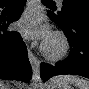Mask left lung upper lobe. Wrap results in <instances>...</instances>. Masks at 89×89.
Returning <instances> with one entry per match:
<instances>
[{"label": "left lung upper lobe", "instance_id": "left-lung-upper-lobe-1", "mask_svg": "<svg viewBox=\"0 0 89 89\" xmlns=\"http://www.w3.org/2000/svg\"><path fill=\"white\" fill-rule=\"evenodd\" d=\"M79 13L89 14V0H64L62 11L58 12L64 21Z\"/></svg>", "mask_w": 89, "mask_h": 89}]
</instances>
